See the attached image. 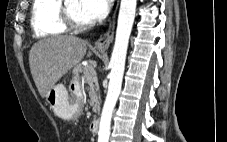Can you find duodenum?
<instances>
[{"mask_svg":"<svg viewBox=\"0 0 227 142\" xmlns=\"http://www.w3.org/2000/svg\"><path fill=\"white\" fill-rule=\"evenodd\" d=\"M99 119H94L91 124H90V131L93 133V134H96L99 130Z\"/></svg>","mask_w":227,"mask_h":142,"instance_id":"obj_1","label":"duodenum"}]
</instances>
